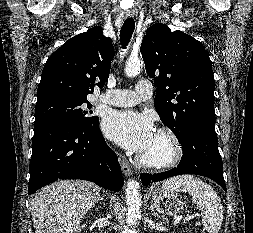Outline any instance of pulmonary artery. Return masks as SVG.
<instances>
[{
  "label": "pulmonary artery",
  "mask_w": 253,
  "mask_h": 233,
  "mask_svg": "<svg viewBox=\"0 0 253 233\" xmlns=\"http://www.w3.org/2000/svg\"><path fill=\"white\" fill-rule=\"evenodd\" d=\"M152 95V85L147 80H141L137 83L135 90L114 89L100 96L102 103L129 107L136 105L140 101L147 100Z\"/></svg>",
  "instance_id": "pulmonary-artery-1"
}]
</instances>
